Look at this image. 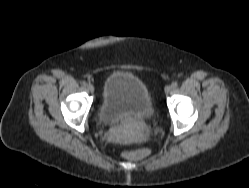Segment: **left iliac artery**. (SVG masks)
<instances>
[{
	"label": "left iliac artery",
	"mask_w": 249,
	"mask_h": 188,
	"mask_svg": "<svg viewBox=\"0 0 249 188\" xmlns=\"http://www.w3.org/2000/svg\"><path fill=\"white\" fill-rule=\"evenodd\" d=\"M173 88H176L178 86V83L177 82H173L172 85H171Z\"/></svg>",
	"instance_id": "1"
}]
</instances>
